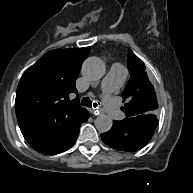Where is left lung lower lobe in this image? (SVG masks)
Listing matches in <instances>:
<instances>
[{
	"label": "left lung lower lobe",
	"mask_w": 193,
	"mask_h": 193,
	"mask_svg": "<svg viewBox=\"0 0 193 193\" xmlns=\"http://www.w3.org/2000/svg\"><path fill=\"white\" fill-rule=\"evenodd\" d=\"M157 118H131L122 121H113L108 132L102 133L101 138L108 146L122 151H136L143 148L151 139L156 126Z\"/></svg>",
	"instance_id": "obj_1"
}]
</instances>
